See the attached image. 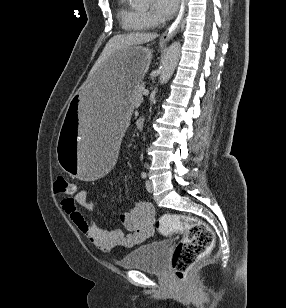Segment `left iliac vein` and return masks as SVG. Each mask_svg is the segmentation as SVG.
I'll list each match as a JSON object with an SVG mask.
<instances>
[{
    "label": "left iliac vein",
    "mask_w": 286,
    "mask_h": 308,
    "mask_svg": "<svg viewBox=\"0 0 286 308\" xmlns=\"http://www.w3.org/2000/svg\"><path fill=\"white\" fill-rule=\"evenodd\" d=\"M145 186H146V190H147L149 193H152V192H153V183H152L151 180H146Z\"/></svg>",
    "instance_id": "obj_1"
}]
</instances>
